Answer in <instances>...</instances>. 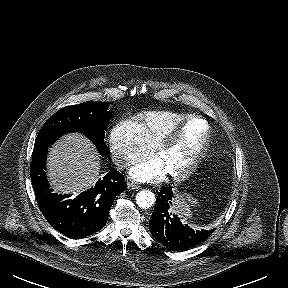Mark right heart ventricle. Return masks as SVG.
<instances>
[{"label": "right heart ventricle", "mask_w": 288, "mask_h": 288, "mask_svg": "<svg viewBox=\"0 0 288 288\" xmlns=\"http://www.w3.org/2000/svg\"><path fill=\"white\" fill-rule=\"evenodd\" d=\"M189 115L188 113L169 110L149 111L138 116V124L148 143L155 147L165 132Z\"/></svg>", "instance_id": "1"}]
</instances>
